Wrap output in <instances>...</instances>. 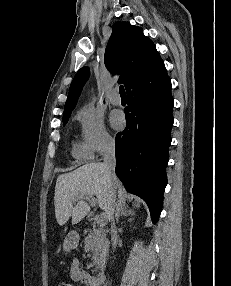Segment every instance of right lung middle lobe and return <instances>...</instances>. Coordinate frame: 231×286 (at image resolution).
Segmentation results:
<instances>
[{
  "mask_svg": "<svg viewBox=\"0 0 231 286\" xmlns=\"http://www.w3.org/2000/svg\"><path fill=\"white\" fill-rule=\"evenodd\" d=\"M69 117H70V114H67V115H64V116H63V124H64V125L67 123Z\"/></svg>",
  "mask_w": 231,
  "mask_h": 286,
  "instance_id": "1",
  "label": "right lung middle lobe"
}]
</instances>
